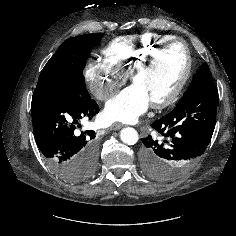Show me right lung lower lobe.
Masks as SVG:
<instances>
[{
	"mask_svg": "<svg viewBox=\"0 0 236 236\" xmlns=\"http://www.w3.org/2000/svg\"><path fill=\"white\" fill-rule=\"evenodd\" d=\"M32 121L36 144L50 166L68 180L77 167L98 156L93 130L79 131L82 119H91L99 107L91 97L59 91H34Z\"/></svg>",
	"mask_w": 236,
	"mask_h": 236,
	"instance_id": "98d812e1",
	"label": "right lung lower lobe"
}]
</instances>
